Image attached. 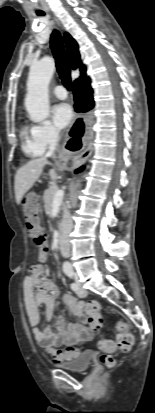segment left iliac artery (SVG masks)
Wrapping results in <instances>:
<instances>
[{"label": "left iliac artery", "instance_id": "obj_1", "mask_svg": "<svg viewBox=\"0 0 155 413\" xmlns=\"http://www.w3.org/2000/svg\"><path fill=\"white\" fill-rule=\"evenodd\" d=\"M66 274H67V276L70 277L71 279H74V278H75V273H74L73 271H71V270L66 271ZM70 287H71V289H72L73 291H76V290L78 289V285H77L76 282H72L71 285H70Z\"/></svg>", "mask_w": 155, "mask_h": 413}]
</instances>
